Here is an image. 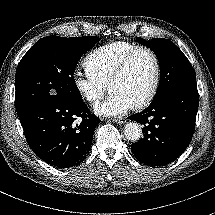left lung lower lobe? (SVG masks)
I'll return each instance as SVG.
<instances>
[{"mask_svg": "<svg viewBox=\"0 0 215 215\" xmlns=\"http://www.w3.org/2000/svg\"><path fill=\"white\" fill-rule=\"evenodd\" d=\"M198 104L197 84L192 81L168 91L144 111L128 117L144 125V137L131 145L137 160L149 166L176 160L192 139Z\"/></svg>", "mask_w": 215, "mask_h": 215, "instance_id": "1", "label": "left lung lower lobe"}]
</instances>
